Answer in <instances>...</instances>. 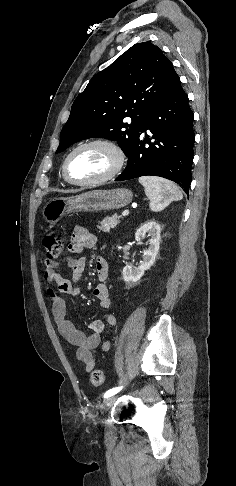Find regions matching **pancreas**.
<instances>
[{"instance_id":"pancreas-1","label":"pancreas","mask_w":236,"mask_h":486,"mask_svg":"<svg viewBox=\"0 0 236 486\" xmlns=\"http://www.w3.org/2000/svg\"><path fill=\"white\" fill-rule=\"evenodd\" d=\"M120 216L112 215L105 217L100 224L97 226L100 230L104 232H109L112 228L116 227L120 223Z\"/></svg>"}]
</instances>
